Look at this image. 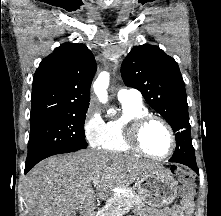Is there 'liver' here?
<instances>
[{
  "instance_id": "liver-1",
  "label": "liver",
  "mask_w": 221,
  "mask_h": 216,
  "mask_svg": "<svg viewBox=\"0 0 221 216\" xmlns=\"http://www.w3.org/2000/svg\"><path fill=\"white\" fill-rule=\"evenodd\" d=\"M158 163L98 150L53 156L38 163L25 178L29 216H91L96 196L106 199L126 188ZM96 188V193L92 187Z\"/></svg>"
}]
</instances>
